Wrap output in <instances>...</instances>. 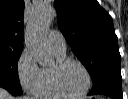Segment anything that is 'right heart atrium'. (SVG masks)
<instances>
[{
    "mask_svg": "<svg viewBox=\"0 0 128 99\" xmlns=\"http://www.w3.org/2000/svg\"><path fill=\"white\" fill-rule=\"evenodd\" d=\"M17 75L20 86L25 91L34 93L41 80V68L27 49L23 50L19 56Z\"/></svg>",
    "mask_w": 128,
    "mask_h": 99,
    "instance_id": "1",
    "label": "right heart atrium"
}]
</instances>
